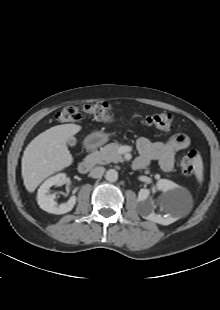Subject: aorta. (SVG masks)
Returning a JSON list of instances; mask_svg holds the SVG:
<instances>
[{
  "instance_id": "aorta-1",
  "label": "aorta",
  "mask_w": 220,
  "mask_h": 310,
  "mask_svg": "<svg viewBox=\"0 0 220 310\" xmlns=\"http://www.w3.org/2000/svg\"><path fill=\"white\" fill-rule=\"evenodd\" d=\"M105 178L109 182H115L118 179V172L115 169H109L106 172Z\"/></svg>"
}]
</instances>
